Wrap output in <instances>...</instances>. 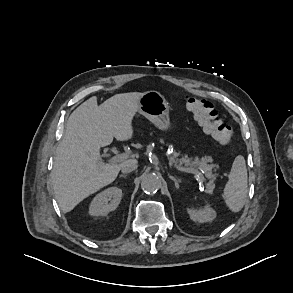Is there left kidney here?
I'll list each match as a JSON object with an SVG mask.
<instances>
[{"mask_svg": "<svg viewBox=\"0 0 293 293\" xmlns=\"http://www.w3.org/2000/svg\"><path fill=\"white\" fill-rule=\"evenodd\" d=\"M187 213L193 221L199 223L213 221L216 218V212L209 204H206L203 208L199 209L187 208Z\"/></svg>", "mask_w": 293, "mask_h": 293, "instance_id": "obj_1", "label": "left kidney"}]
</instances>
